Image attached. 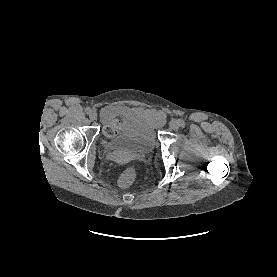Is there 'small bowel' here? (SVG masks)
I'll return each mask as SVG.
<instances>
[{"label":"small bowel","instance_id":"1","mask_svg":"<svg viewBox=\"0 0 277 277\" xmlns=\"http://www.w3.org/2000/svg\"><path fill=\"white\" fill-rule=\"evenodd\" d=\"M152 115L154 116L155 118L157 119H162L163 118V114L159 111H156V110H149V115Z\"/></svg>","mask_w":277,"mask_h":277}]
</instances>
